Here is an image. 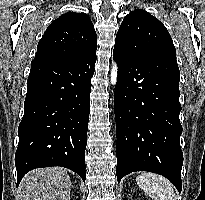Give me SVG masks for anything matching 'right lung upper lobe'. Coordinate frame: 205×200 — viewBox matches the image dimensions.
<instances>
[{
    "mask_svg": "<svg viewBox=\"0 0 205 200\" xmlns=\"http://www.w3.org/2000/svg\"><path fill=\"white\" fill-rule=\"evenodd\" d=\"M96 32L85 13L67 12L46 29L34 60L70 61L96 52Z\"/></svg>",
    "mask_w": 205,
    "mask_h": 200,
    "instance_id": "cb5924a9",
    "label": "right lung upper lobe"
}]
</instances>
